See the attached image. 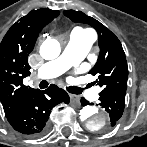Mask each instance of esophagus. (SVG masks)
<instances>
[{
    "label": "esophagus",
    "mask_w": 147,
    "mask_h": 147,
    "mask_svg": "<svg viewBox=\"0 0 147 147\" xmlns=\"http://www.w3.org/2000/svg\"><path fill=\"white\" fill-rule=\"evenodd\" d=\"M70 100L75 104H79L80 98L77 95L70 94Z\"/></svg>",
    "instance_id": "1"
}]
</instances>
